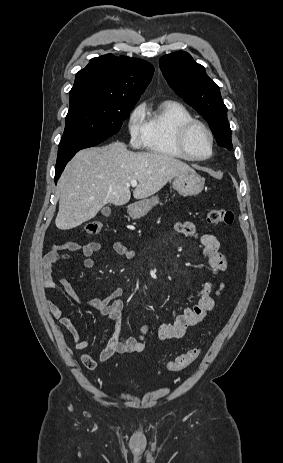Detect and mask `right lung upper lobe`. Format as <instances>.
I'll return each mask as SVG.
<instances>
[{
  "mask_svg": "<svg viewBox=\"0 0 283 463\" xmlns=\"http://www.w3.org/2000/svg\"><path fill=\"white\" fill-rule=\"evenodd\" d=\"M154 67L143 60L107 54L93 58L75 77L69 94L138 101L151 81Z\"/></svg>",
  "mask_w": 283,
  "mask_h": 463,
  "instance_id": "1",
  "label": "right lung upper lobe"
}]
</instances>
